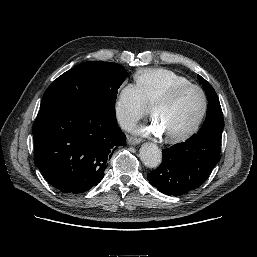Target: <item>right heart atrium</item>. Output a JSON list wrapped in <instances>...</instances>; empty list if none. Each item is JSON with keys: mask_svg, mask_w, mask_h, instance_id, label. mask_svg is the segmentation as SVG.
Here are the masks:
<instances>
[{"mask_svg": "<svg viewBox=\"0 0 257 257\" xmlns=\"http://www.w3.org/2000/svg\"><path fill=\"white\" fill-rule=\"evenodd\" d=\"M149 110L145 98L134 83L123 84L115 100V114L124 128L132 127Z\"/></svg>", "mask_w": 257, "mask_h": 257, "instance_id": "right-heart-atrium-1", "label": "right heart atrium"}]
</instances>
